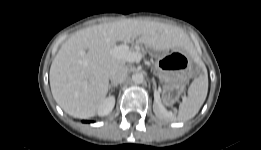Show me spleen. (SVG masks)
Masks as SVG:
<instances>
[{"mask_svg":"<svg viewBox=\"0 0 261 150\" xmlns=\"http://www.w3.org/2000/svg\"><path fill=\"white\" fill-rule=\"evenodd\" d=\"M208 92V76L195 78L189 86L188 96L179 105L177 120L187 121L193 118L203 105Z\"/></svg>","mask_w":261,"mask_h":150,"instance_id":"3e777b00","label":"spleen"}]
</instances>
